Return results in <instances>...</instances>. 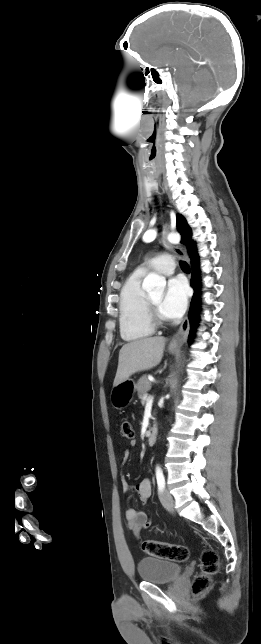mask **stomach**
I'll return each mask as SVG.
<instances>
[{
  "mask_svg": "<svg viewBox=\"0 0 261 644\" xmlns=\"http://www.w3.org/2000/svg\"><path fill=\"white\" fill-rule=\"evenodd\" d=\"M169 352L174 354L180 351L179 346H169ZM136 384L132 379H127L122 383L114 386L110 394L111 404L115 409L122 410L126 408L134 397Z\"/></svg>",
  "mask_w": 261,
  "mask_h": 644,
  "instance_id": "1",
  "label": "stomach"
}]
</instances>
